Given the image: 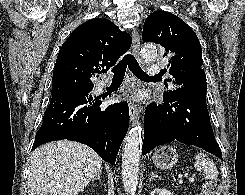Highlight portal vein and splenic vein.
I'll list each match as a JSON object with an SVG mask.
<instances>
[{"label": "portal vein and splenic vein", "mask_w": 245, "mask_h": 195, "mask_svg": "<svg viewBox=\"0 0 245 195\" xmlns=\"http://www.w3.org/2000/svg\"><path fill=\"white\" fill-rule=\"evenodd\" d=\"M189 181H190V182H193V181H194V177H190V178H189Z\"/></svg>", "instance_id": "obj_1"}]
</instances>
